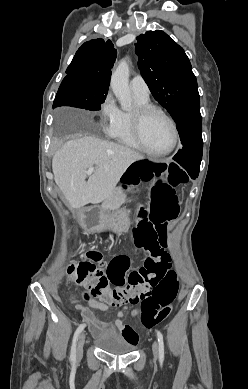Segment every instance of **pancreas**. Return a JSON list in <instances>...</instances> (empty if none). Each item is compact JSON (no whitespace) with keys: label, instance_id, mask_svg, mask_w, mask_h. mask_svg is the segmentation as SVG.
<instances>
[{"label":"pancreas","instance_id":"1","mask_svg":"<svg viewBox=\"0 0 248 389\" xmlns=\"http://www.w3.org/2000/svg\"><path fill=\"white\" fill-rule=\"evenodd\" d=\"M126 194L121 188L117 187L113 190L112 194L102 203L101 219H106L111 215H114L119 208L126 202Z\"/></svg>","mask_w":248,"mask_h":389}]
</instances>
